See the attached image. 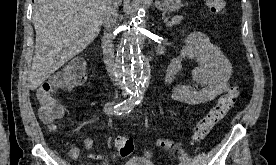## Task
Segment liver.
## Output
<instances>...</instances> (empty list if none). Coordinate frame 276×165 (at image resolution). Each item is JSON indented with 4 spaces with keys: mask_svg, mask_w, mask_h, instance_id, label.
Returning a JSON list of instances; mask_svg holds the SVG:
<instances>
[{
    "mask_svg": "<svg viewBox=\"0 0 276 165\" xmlns=\"http://www.w3.org/2000/svg\"><path fill=\"white\" fill-rule=\"evenodd\" d=\"M104 1L35 0L36 45L28 75L31 90L94 41L103 22Z\"/></svg>",
    "mask_w": 276,
    "mask_h": 165,
    "instance_id": "obj_1",
    "label": "liver"
}]
</instances>
